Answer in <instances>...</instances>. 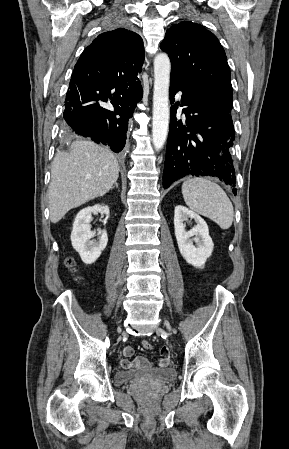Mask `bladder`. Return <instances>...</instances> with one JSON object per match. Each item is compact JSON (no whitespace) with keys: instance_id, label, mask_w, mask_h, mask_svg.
<instances>
[{"instance_id":"bladder-1","label":"bladder","mask_w":289,"mask_h":449,"mask_svg":"<svg viewBox=\"0 0 289 449\" xmlns=\"http://www.w3.org/2000/svg\"><path fill=\"white\" fill-rule=\"evenodd\" d=\"M176 375L177 372L173 368L117 371L114 380L117 385L143 381L169 382L173 381Z\"/></svg>"}]
</instances>
